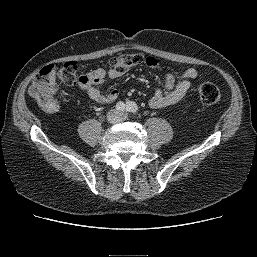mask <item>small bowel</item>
I'll use <instances>...</instances> for the list:
<instances>
[{"label":"small bowel","instance_id":"small-bowel-1","mask_svg":"<svg viewBox=\"0 0 257 257\" xmlns=\"http://www.w3.org/2000/svg\"><path fill=\"white\" fill-rule=\"evenodd\" d=\"M145 64L150 68H156L158 61L154 57H147ZM122 74L110 69L108 76L110 78H118ZM105 72L102 69H97L87 75L88 81L81 84V88L89 98L100 103L110 104L116 100L118 93L115 89L108 93L103 92V78ZM198 77V72L193 69H187L180 81L175 82L174 77L170 73L164 75L162 85L156 90L154 95L149 100V105L153 109H161L170 106L181 100L189 91L192 81Z\"/></svg>","mask_w":257,"mask_h":257}]
</instances>
